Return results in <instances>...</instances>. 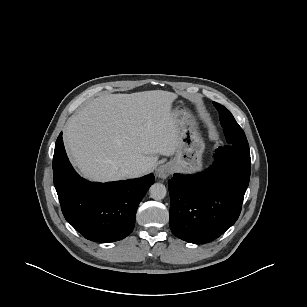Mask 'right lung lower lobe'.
Listing matches in <instances>:
<instances>
[{
	"label": "right lung lower lobe",
	"instance_id": "98d812e1",
	"mask_svg": "<svg viewBox=\"0 0 307 307\" xmlns=\"http://www.w3.org/2000/svg\"><path fill=\"white\" fill-rule=\"evenodd\" d=\"M53 180L65 219L88 240L113 242L132 232L136 210L154 183V175L104 184L89 182L70 164L60 133L53 156Z\"/></svg>",
	"mask_w": 307,
	"mask_h": 307
}]
</instances>
